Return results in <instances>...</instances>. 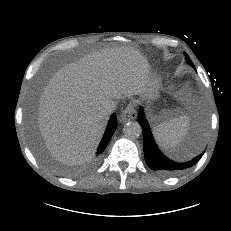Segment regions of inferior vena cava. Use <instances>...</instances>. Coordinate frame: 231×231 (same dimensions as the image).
<instances>
[{"mask_svg": "<svg viewBox=\"0 0 231 231\" xmlns=\"http://www.w3.org/2000/svg\"><path fill=\"white\" fill-rule=\"evenodd\" d=\"M116 107V102L112 101V102H109L107 105H106V112L108 114H111L113 112V110L115 109Z\"/></svg>", "mask_w": 231, "mask_h": 231, "instance_id": "602c4592", "label": "inferior vena cava"}]
</instances>
